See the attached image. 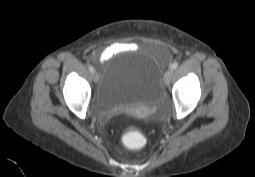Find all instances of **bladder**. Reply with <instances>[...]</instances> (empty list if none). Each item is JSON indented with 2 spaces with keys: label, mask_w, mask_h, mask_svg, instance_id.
<instances>
[{
  "label": "bladder",
  "mask_w": 255,
  "mask_h": 177,
  "mask_svg": "<svg viewBox=\"0 0 255 177\" xmlns=\"http://www.w3.org/2000/svg\"><path fill=\"white\" fill-rule=\"evenodd\" d=\"M163 97L162 67L152 55L131 53L112 63L96 100L104 109L157 107Z\"/></svg>",
  "instance_id": "31cf9c89"
}]
</instances>
